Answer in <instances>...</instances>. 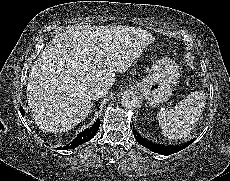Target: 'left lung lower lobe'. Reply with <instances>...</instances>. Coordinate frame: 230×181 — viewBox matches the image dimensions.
Returning <instances> with one entry per match:
<instances>
[{
  "label": "left lung lower lobe",
  "mask_w": 230,
  "mask_h": 181,
  "mask_svg": "<svg viewBox=\"0 0 230 181\" xmlns=\"http://www.w3.org/2000/svg\"><path fill=\"white\" fill-rule=\"evenodd\" d=\"M134 136H135V139L137 140V142L139 144H141L142 146L150 149L151 151L155 152V153H158V154H161V155H171L173 153H176L178 151H181L183 150L184 148H186L187 146H189L190 144H192V142L194 140H191L183 145H176V146H173V145H170V146H163V145H157L155 143H152L148 140H145L144 138H142L138 132L135 130L134 131Z\"/></svg>",
  "instance_id": "1"
}]
</instances>
